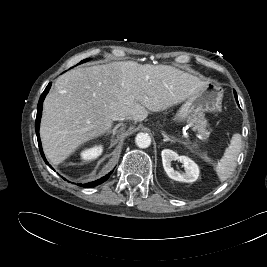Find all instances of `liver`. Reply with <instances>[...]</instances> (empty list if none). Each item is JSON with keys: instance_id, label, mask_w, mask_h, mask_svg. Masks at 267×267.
<instances>
[{"instance_id": "1", "label": "liver", "mask_w": 267, "mask_h": 267, "mask_svg": "<svg viewBox=\"0 0 267 267\" xmlns=\"http://www.w3.org/2000/svg\"><path fill=\"white\" fill-rule=\"evenodd\" d=\"M208 82L167 65L134 61L74 68L61 75L43 103L40 137L59 164L107 132L116 118L141 122L205 89Z\"/></svg>"}]
</instances>
